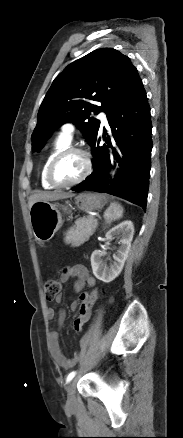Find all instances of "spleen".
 I'll use <instances>...</instances> for the list:
<instances>
[{"label": "spleen", "instance_id": "obj_1", "mask_svg": "<svg viewBox=\"0 0 183 438\" xmlns=\"http://www.w3.org/2000/svg\"><path fill=\"white\" fill-rule=\"evenodd\" d=\"M123 211V207L119 203L112 202L104 212V218L107 222L118 220L122 217Z\"/></svg>", "mask_w": 183, "mask_h": 438}]
</instances>
